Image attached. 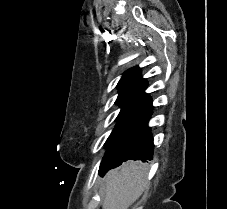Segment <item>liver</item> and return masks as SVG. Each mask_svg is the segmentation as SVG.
<instances>
[{
  "label": "liver",
  "mask_w": 227,
  "mask_h": 209,
  "mask_svg": "<svg viewBox=\"0 0 227 209\" xmlns=\"http://www.w3.org/2000/svg\"><path fill=\"white\" fill-rule=\"evenodd\" d=\"M148 165L127 161L104 177L105 199L102 209H128L147 187Z\"/></svg>",
  "instance_id": "6515ba94"
}]
</instances>
